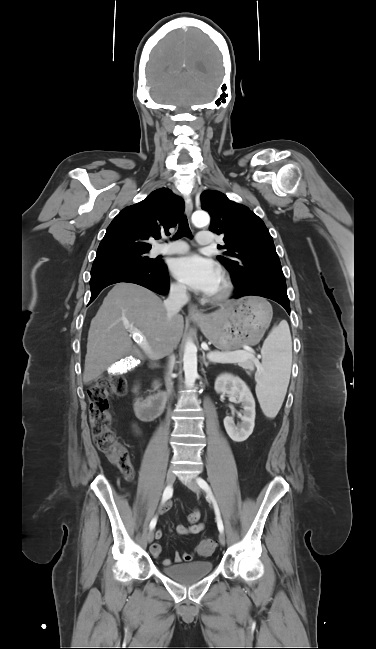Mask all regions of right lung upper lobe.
Masks as SVG:
<instances>
[{
	"label": "right lung upper lobe",
	"instance_id": "1",
	"mask_svg": "<svg viewBox=\"0 0 376 649\" xmlns=\"http://www.w3.org/2000/svg\"><path fill=\"white\" fill-rule=\"evenodd\" d=\"M185 208L184 201L167 188L151 192L143 201L126 207L112 220L97 254L149 251L150 237L169 234Z\"/></svg>",
	"mask_w": 376,
	"mask_h": 649
}]
</instances>
